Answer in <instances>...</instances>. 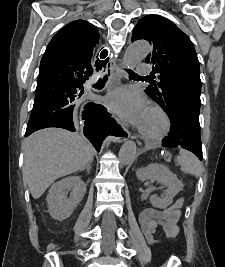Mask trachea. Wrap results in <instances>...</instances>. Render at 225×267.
I'll return each instance as SVG.
<instances>
[{"mask_svg":"<svg viewBox=\"0 0 225 267\" xmlns=\"http://www.w3.org/2000/svg\"><path fill=\"white\" fill-rule=\"evenodd\" d=\"M127 72L129 73L130 77H139V75H137L134 71L132 70H127Z\"/></svg>","mask_w":225,"mask_h":267,"instance_id":"trachea-1","label":"trachea"}]
</instances>
